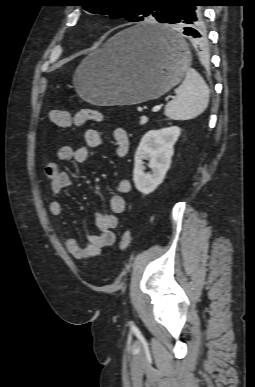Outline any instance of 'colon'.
Returning <instances> with one entry per match:
<instances>
[{"label": "colon", "instance_id": "obj_1", "mask_svg": "<svg viewBox=\"0 0 255 387\" xmlns=\"http://www.w3.org/2000/svg\"><path fill=\"white\" fill-rule=\"evenodd\" d=\"M51 122L59 128H70L73 126L82 125L88 121L102 122L104 120L103 114L95 109H81L75 114L63 108H55L50 112ZM133 242V237L129 231H125L120 239V248L122 250L128 249Z\"/></svg>", "mask_w": 255, "mask_h": 387}]
</instances>
